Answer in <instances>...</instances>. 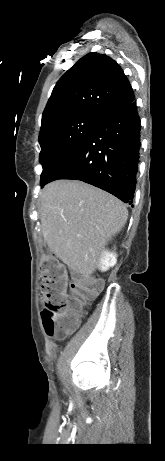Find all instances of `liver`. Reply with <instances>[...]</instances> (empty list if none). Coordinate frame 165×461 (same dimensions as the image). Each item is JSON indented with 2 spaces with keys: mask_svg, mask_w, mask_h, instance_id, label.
Wrapping results in <instances>:
<instances>
[{
  "mask_svg": "<svg viewBox=\"0 0 165 461\" xmlns=\"http://www.w3.org/2000/svg\"><path fill=\"white\" fill-rule=\"evenodd\" d=\"M126 206L81 181L58 180L41 193V223L50 250L69 268L88 277L109 240L124 227Z\"/></svg>",
  "mask_w": 165,
  "mask_h": 461,
  "instance_id": "6515ba94",
  "label": "liver"
}]
</instances>
